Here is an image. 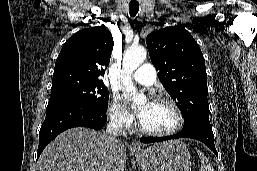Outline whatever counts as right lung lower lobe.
Segmentation results:
<instances>
[{"label":"right lung lower lobe","instance_id":"98d812e1","mask_svg":"<svg viewBox=\"0 0 257 171\" xmlns=\"http://www.w3.org/2000/svg\"><path fill=\"white\" fill-rule=\"evenodd\" d=\"M107 121L106 112L81 102L64 101L48 104L45 120L39 132L37 159L44 148L61 132L72 127L100 130Z\"/></svg>","mask_w":257,"mask_h":171}]
</instances>
